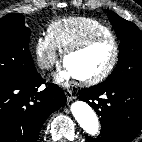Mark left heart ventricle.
<instances>
[{
  "instance_id": "obj_1",
  "label": "left heart ventricle",
  "mask_w": 142,
  "mask_h": 142,
  "mask_svg": "<svg viewBox=\"0 0 142 142\" xmlns=\"http://www.w3.org/2000/svg\"><path fill=\"white\" fill-rule=\"evenodd\" d=\"M114 48L109 40L94 42L87 48L70 55L65 65L68 66L77 78L94 76L103 71L110 63Z\"/></svg>"
}]
</instances>
